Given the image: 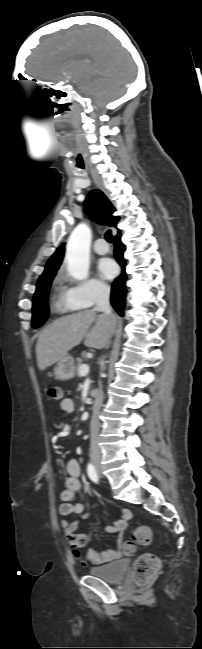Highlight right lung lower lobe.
<instances>
[{"label": "right lung lower lobe", "instance_id": "98d812e1", "mask_svg": "<svg viewBox=\"0 0 202 649\" xmlns=\"http://www.w3.org/2000/svg\"><path fill=\"white\" fill-rule=\"evenodd\" d=\"M121 234L118 233L117 236L114 237V254L115 258L122 267V273L119 277H117L111 288V305L115 308V310L119 313V315L123 316V310L125 307V298H126V287H125V282H126V273H125V266L126 262L125 259L123 258V253H124V245L121 242Z\"/></svg>", "mask_w": 202, "mask_h": 649}]
</instances>
